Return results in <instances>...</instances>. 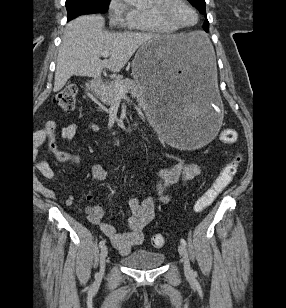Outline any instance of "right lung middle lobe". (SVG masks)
<instances>
[{
  "instance_id": "obj_1",
  "label": "right lung middle lobe",
  "mask_w": 286,
  "mask_h": 308,
  "mask_svg": "<svg viewBox=\"0 0 286 308\" xmlns=\"http://www.w3.org/2000/svg\"><path fill=\"white\" fill-rule=\"evenodd\" d=\"M109 3L110 0H66L68 21L83 14L104 13Z\"/></svg>"
}]
</instances>
